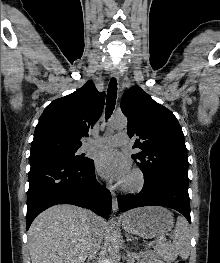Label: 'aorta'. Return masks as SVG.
Segmentation results:
<instances>
[{"label": "aorta", "instance_id": "762f6f07", "mask_svg": "<svg viewBox=\"0 0 220 263\" xmlns=\"http://www.w3.org/2000/svg\"><path fill=\"white\" fill-rule=\"evenodd\" d=\"M126 126L127 119L124 116H115L110 121V127L112 129H123ZM107 244L111 255H115L119 251L118 225L113 217L109 220Z\"/></svg>", "mask_w": 220, "mask_h": 263}]
</instances>
